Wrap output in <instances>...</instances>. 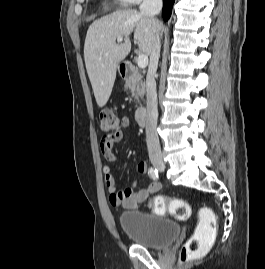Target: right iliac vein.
Masks as SVG:
<instances>
[{
    "instance_id": "1",
    "label": "right iliac vein",
    "mask_w": 265,
    "mask_h": 269,
    "mask_svg": "<svg viewBox=\"0 0 265 269\" xmlns=\"http://www.w3.org/2000/svg\"><path fill=\"white\" fill-rule=\"evenodd\" d=\"M152 163L153 166L160 171H163L165 169V164L161 159L153 160Z\"/></svg>"
}]
</instances>
